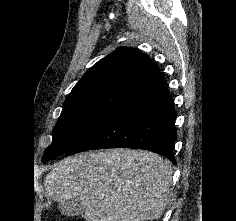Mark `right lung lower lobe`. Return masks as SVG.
<instances>
[{"mask_svg":"<svg viewBox=\"0 0 236 221\" xmlns=\"http://www.w3.org/2000/svg\"><path fill=\"white\" fill-rule=\"evenodd\" d=\"M175 118L173 100L161 78L135 93L67 151L66 156L92 149L136 148L164 155L176 164Z\"/></svg>","mask_w":236,"mask_h":221,"instance_id":"98d812e1","label":"right lung lower lobe"}]
</instances>
